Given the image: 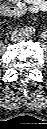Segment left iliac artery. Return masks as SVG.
<instances>
[{"mask_svg": "<svg viewBox=\"0 0 47 129\" xmlns=\"http://www.w3.org/2000/svg\"><path fill=\"white\" fill-rule=\"evenodd\" d=\"M42 38L43 39H46L47 38V34L45 32L42 34Z\"/></svg>", "mask_w": 47, "mask_h": 129, "instance_id": "44dca946", "label": "left iliac artery"}]
</instances>
